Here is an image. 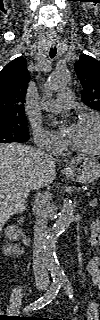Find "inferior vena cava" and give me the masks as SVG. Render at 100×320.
Wrapping results in <instances>:
<instances>
[{"mask_svg":"<svg viewBox=\"0 0 100 320\" xmlns=\"http://www.w3.org/2000/svg\"><path fill=\"white\" fill-rule=\"evenodd\" d=\"M42 148H38V152L41 153L46 159H51L52 156L41 151ZM40 188H37L39 190ZM51 211L50 200L45 193L37 192L33 204V213L36 217L34 225V242H33V271L36 282L48 283L49 274L47 271V265L45 261L44 246L46 237L48 235L47 219Z\"/></svg>","mask_w":100,"mask_h":320,"instance_id":"obj_1","label":"inferior vena cava"}]
</instances>
